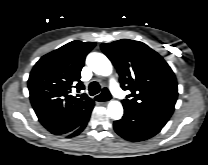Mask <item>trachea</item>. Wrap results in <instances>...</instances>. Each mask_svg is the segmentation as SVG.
<instances>
[{"mask_svg": "<svg viewBox=\"0 0 208 165\" xmlns=\"http://www.w3.org/2000/svg\"><path fill=\"white\" fill-rule=\"evenodd\" d=\"M99 92H100V85L95 81L91 82L89 85V94L93 96L98 94ZM95 99L96 101H107L110 99V94L108 90L105 88L100 95H97L95 97Z\"/></svg>", "mask_w": 208, "mask_h": 165, "instance_id": "1", "label": "trachea"}]
</instances>
